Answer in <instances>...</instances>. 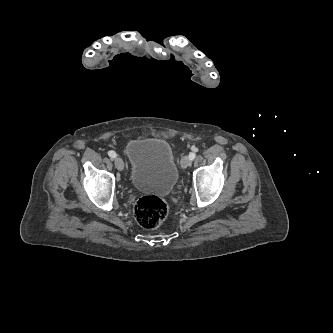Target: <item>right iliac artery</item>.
Segmentation results:
<instances>
[{
  "instance_id": "right-iliac-artery-1",
  "label": "right iliac artery",
  "mask_w": 333,
  "mask_h": 333,
  "mask_svg": "<svg viewBox=\"0 0 333 333\" xmlns=\"http://www.w3.org/2000/svg\"><path fill=\"white\" fill-rule=\"evenodd\" d=\"M108 155H109V157H111V158H115L116 157V153H115V151H109L108 152Z\"/></svg>"
}]
</instances>
